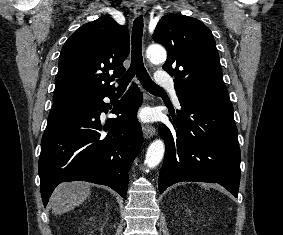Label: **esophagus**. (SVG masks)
<instances>
[{
  "instance_id": "esophagus-1",
  "label": "esophagus",
  "mask_w": 283,
  "mask_h": 235,
  "mask_svg": "<svg viewBox=\"0 0 283 235\" xmlns=\"http://www.w3.org/2000/svg\"><path fill=\"white\" fill-rule=\"evenodd\" d=\"M145 11H146V8H145L144 4H141V3L135 4V6H134L135 16H140V15L144 14ZM142 130H143L144 137L146 139H150L151 137H153L155 135V132H156L155 127L152 126V125H144L142 127Z\"/></svg>"
}]
</instances>
